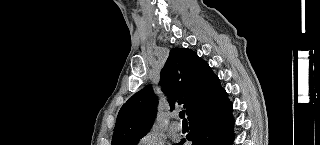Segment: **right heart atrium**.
<instances>
[{"label": "right heart atrium", "instance_id": "1", "mask_svg": "<svg viewBox=\"0 0 320 145\" xmlns=\"http://www.w3.org/2000/svg\"><path fill=\"white\" fill-rule=\"evenodd\" d=\"M163 144H164V141L154 134L145 135L139 140V145H163Z\"/></svg>", "mask_w": 320, "mask_h": 145}]
</instances>
